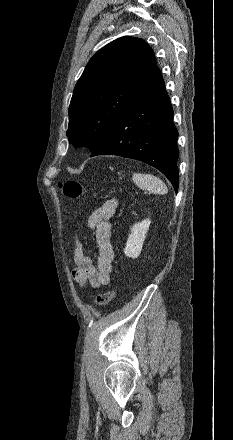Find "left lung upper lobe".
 Wrapping results in <instances>:
<instances>
[{
	"label": "left lung upper lobe",
	"mask_w": 233,
	"mask_h": 440,
	"mask_svg": "<svg viewBox=\"0 0 233 440\" xmlns=\"http://www.w3.org/2000/svg\"><path fill=\"white\" fill-rule=\"evenodd\" d=\"M156 67L153 50L139 38L121 37L100 49L74 88L69 143L87 146L91 152L97 149Z\"/></svg>",
	"instance_id": "5c2ea615"
}]
</instances>
